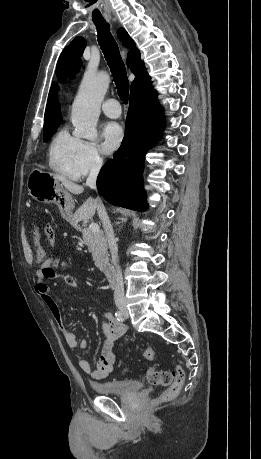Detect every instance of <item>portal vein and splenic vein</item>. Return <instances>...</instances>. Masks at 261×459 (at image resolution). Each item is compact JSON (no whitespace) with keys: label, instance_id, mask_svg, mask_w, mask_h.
I'll return each instance as SVG.
<instances>
[{"label":"portal vein and splenic vein","instance_id":"18ae733b","mask_svg":"<svg viewBox=\"0 0 261 459\" xmlns=\"http://www.w3.org/2000/svg\"><path fill=\"white\" fill-rule=\"evenodd\" d=\"M89 229L93 232H99L100 227L96 223H91L89 224Z\"/></svg>","mask_w":261,"mask_h":459}]
</instances>
